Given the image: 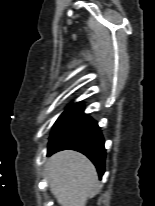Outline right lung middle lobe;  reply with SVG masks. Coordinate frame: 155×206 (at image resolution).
<instances>
[{"instance_id": "right-lung-middle-lobe-1", "label": "right lung middle lobe", "mask_w": 155, "mask_h": 206, "mask_svg": "<svg viewBox=\"0 0 155 206\" xmlns=\"http://www.w3.org/2000/svg\"><path fill=\"white\" fill-rule=\"evenodd\" d=\"M83 110L82 102L71 104L55 122L51 135L85 116Z\"/></svg>"}]
</instances>
